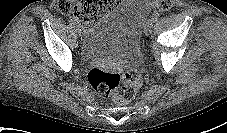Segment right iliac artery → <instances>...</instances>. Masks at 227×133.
<instances>
[{"label":"right iliac artery","instance_id":"82829eb1","mask_svg":"<svg viewBox=\"0 0 227 133\" xmlns=\"http://www.w3.org/2000/svg\"><path fill=\"white\" fill-rule=\"evenodd\" d=\"M69 23H70V25H72V26H77V22H76V20L73 19V18H70V19H69Z\"/></svg>","mask_w":227,"mask_h":133}]
</instances>
